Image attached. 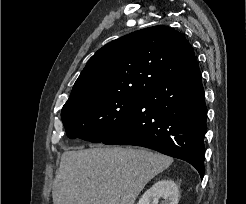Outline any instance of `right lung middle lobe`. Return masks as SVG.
I'll use <instances>...</instances> for the list:
<instances>
[{
    "mask_svg": "<svg viewBox=\"0 0 246 204\" xmlns=\"http://www.w3.org/2000/svg\"><path fill=\"white\" fill-rule=\"evenodd\" d=\"M139 95H103L64 107L61 118L67 137L102 142L124 123Z\"/></svg>",
    "mask_w": 246,
    "mask_h": 204,
    "instance_id": "dd1d6c3e",
    "label": "right lung middle lobe"
}]
</instances>
